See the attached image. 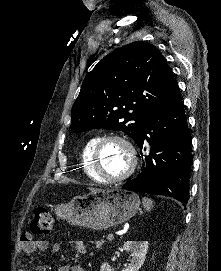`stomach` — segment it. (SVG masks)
Returning <instances> with one entry per match:
<instances>
[{
	"label": "stomach",
	"instance_id": "1",
	"mask_svg": "<svg viewBox=\"0 0 221 271\" xmlns=\"http://www.w3.org/2000/svg\"><path fill=\"white\" fill-rule=\"evenodd\" d=\"M140 199L134 191L114 187L109 191H92L71 202H60L56 213H66L73 225L90 229H107L130 219L139 209Z\"/></svg>",
	"mask_w": 221,
	"mask_h": 271
}]
</instances>
